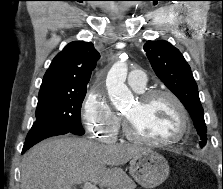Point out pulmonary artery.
<instances>
[{
    "label": "pulmonary artery",
    "instance_id": "pulmonary-artery-1",
    "mask_svg": "<svg viewBox=\"0 0 223 189\" xmlns=\"http://www.w3.org/2000/svg\"><path fill=\"white\" fill-rule=\"evenodd\" d=\"M147 83L146 74L143 70L134 69L130 72L127 84L136 91H141L144 89Z\"/></svg>",
    "mask_w": 223,
    "mask_h": 189
}]
</instances>
